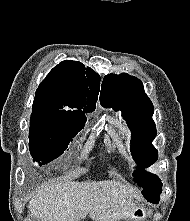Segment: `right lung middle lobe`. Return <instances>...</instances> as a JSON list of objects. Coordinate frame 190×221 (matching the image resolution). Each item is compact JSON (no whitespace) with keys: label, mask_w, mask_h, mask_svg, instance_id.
I'll use <instances>...</instances> for the list:
<instances>
[{"label":"right lung middle lobe","mask_w":190,"mask_h":221,"mask_svg":"<svg viewBox=\"0 0 190 221\" xmlns=\"http://www.w3.org/2000/svg\"><path fill=\"white\" fill-rule=\"evenodd\" d=\"M85 123L86 120L71 122L58 117L31 115L29 149L33 161L42 166L59 157Z\"/></svg>","instance_id":"1"}]
</instances>
